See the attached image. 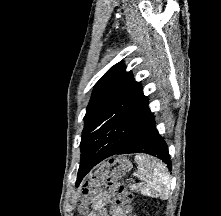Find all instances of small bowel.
<instances>
[{
  "label": "small bowel",
  "instance_id": "small-bowel-1",
  "mask_svg": "<svg viewBox=\"0 0 221 216\" xmlns=\"http://www.w3.org/2000/svg\"><path fill=\"white\" fill-rule=\"evenodd\" d=\"M106 206L109 207V212L106 211ZM88 216H123V214L117 204L112 201L109 193L100 192L99 198Z\"/></svg>",
  "mask_w": 221,
  "mask_h": 216
}]
</instances>
